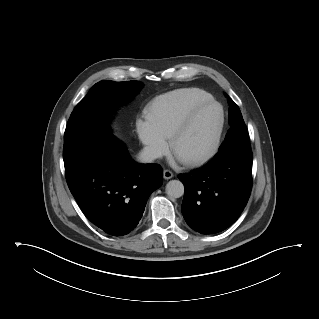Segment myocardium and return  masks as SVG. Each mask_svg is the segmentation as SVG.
I'll list each match as a JSON object with an SVG mask.
<instances>
[{"label":"myocardium","instance_id":"f54148a6","mask_svg":"<svg viewBox=\"0 0 319 319\" xmlns=\"http://www.w3.org/2000/svg\"><path fill=\"white\" fill-rule=\"evenodd\" d=\"M211 105L217 106L220 110V124H219L218 132H217L213 147L211 148L209 152H207L206 154L202 156L191 158V159H185V160L180 159L182 163L187 166H199V165L205 164L208 161L212 160L219 152L224 130H225V125H226V112L223 105L213 98L195 105L188 112L185 119L180 123V125L173 131V133L170 136V140H169L170 150L173 154H175V146L178 140L190 129L197 114L202 109Z\"/></svg>","mask_w":319,"mask_h":319}]
</instances>
